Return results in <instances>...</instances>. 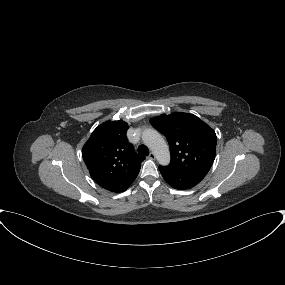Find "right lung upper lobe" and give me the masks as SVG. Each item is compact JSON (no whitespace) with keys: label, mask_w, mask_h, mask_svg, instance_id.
Instances as JSON below:
<instances>
[{"label":"right lung upper lobe","mask_w":285,"mask_h":285,"mask_svg":"<svg viewBox=\"0 0 285 285\" xmlns=\"http://www.w3.org/2000/svg\"><path fill=\"white\" fill-rule=\"evenodd\" d=\"M128 124L107 121L98 126L85 143L83 160L93 180L112 192H123L137 177L145 159L134 153L128 143Z\"/></svg>","instance_id":"obj_1"}]
</instances>
